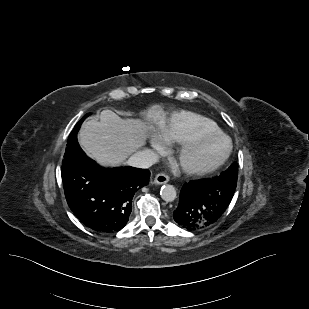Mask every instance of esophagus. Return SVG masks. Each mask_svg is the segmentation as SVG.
<instances>
[{"instance_id": "obj_1", "label": "esophagus", "mask_w": 309, "mask_h": 309, "mask_svg": "<svg viewBox=\"0 0 309 309\" xmlns=\"http://www.w3.org/2000/svg\"><path fill=\"white\" fill-rule=\"evenodd\" d=\"M169 181V177L164 173H159L154 178L155 184H166Z\"/></svg>"}]
</instances>
